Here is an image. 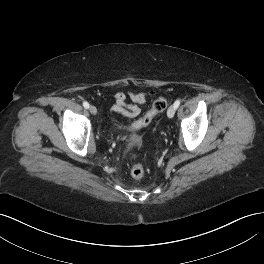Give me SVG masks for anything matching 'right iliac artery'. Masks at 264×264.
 <instances>
[{
	"mask_svg": "<svg viewBox=\"0 0 264 264\" xmlns=\"http://www.w3.org/2000/svg\"><path fill=\"white\" fill-rule=\"evenodd\" d=\"M83 106L86 108V109H88L89 108V103L88 102H83Z\"/></svg>",
	"mask_w": 264,
	"mask_h": 264,
	"instance_id": "1",
	"label": "right iliac artery"
}]
</instances>
